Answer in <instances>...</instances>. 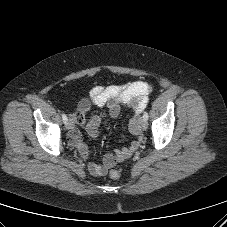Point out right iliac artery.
I'll use <instances>...</instances> for the list:
<instances>
[{
    "mask_svg": "<svg viewBox=\"0 0 227 227\" xmlns=\"http://www.w3.org/2000/svg\"><path fill=\"white\" fill-rule=\"evenodd\" d=\"M62 120L63 122L66 124V122L68 121V118L65 114H62Z\"/></svg>",
    "mask_w": 227,
    "mask_h": 227,
    "instance_id": "right-iliac-artery-1",
    "label": "right iliac artery"
}]
</instances>
